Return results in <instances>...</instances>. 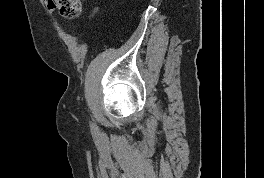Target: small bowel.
Masks as SVG:
<instances>
[{
	"label": "small bowel",
	"mask_w": 264,
	"mask_h": 178,
	"mask_svg": "<svg viewBox=\"0 0 264 178\" xmlns=\"http://www.w3.org/2000/svg\"><path fill=\"white\" fill-rule=\"evenodd\" d=\"M49 8H50L51 10H53V9H54V7H53V6H51V5H49Z\"/></svg>",
	"instance_id": "small-bowel-1"
}]
</instances>
